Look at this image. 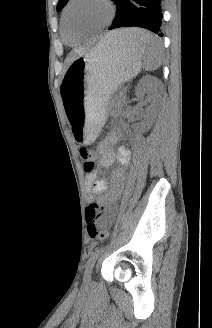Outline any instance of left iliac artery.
I'll list each match as a JSON object with an SVG mask.
<instances>
[{
    "label": "left iliac artery",
    "mask_w": 212,
    "mask_h": 328,
    "mask_svg": "<svg viewBox=\"0 0 212 328\" xmlns=\"http://www.w3.org/2000/svg\"><path fill=\"white\" fill-rule=\"evenodd\" d=\"M105 249V247L103 248H99L97 250H95V252H93L87 262L86 265V269H85V273H84V279L85 281L88 280L90 273L92 271V268L95 264L96 259L98 258V255Z\"/></svg>",
    "instance_id": "obj_1"
}]
</instances>
